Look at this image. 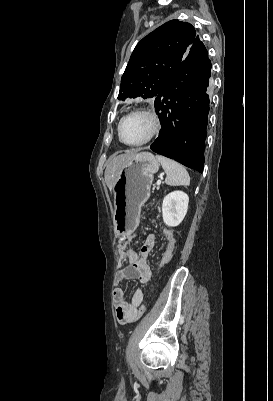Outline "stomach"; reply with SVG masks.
Masks as SVG:
<instances>
[{"label":"stomach","mask_w":273,"mask_h":401,"mask_svg":"<svg viewBox=\"0 0 273 401\" xmlns=\"http://www.w3.org/2000/svg\"><path fill=\"white\" fill-rule=\"evenodd\" d=\"M159 162L152 152H140L119 170L112 188L114 194L113 225L116 237H126L136 231L140 223L141 207L148 201L154 172Z\"/></svg>","instance_id":"0dacf381"}]
</instances>
